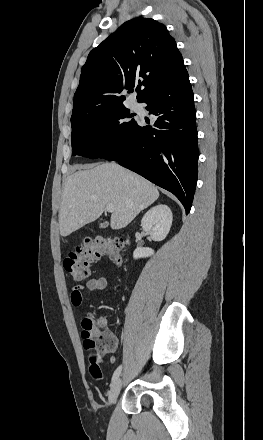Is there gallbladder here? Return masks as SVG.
Wrapping results in <instances>:
<instances>
[{
	"label": "gallbladder",
	"instance_id": "gallbladder-1",
	"mask_svg": "<svg viewBox=\"0 0 263 440\" xmlns=\"http://www.w3.org/2000/svg\"><path fill=\"white\" fill-rule=\"evenodd\" d=\"M105 226V224H100V228H104Z\"/></svg>",
	"mask_w": 263,
	"mask_h": 440
}]
</instances>
